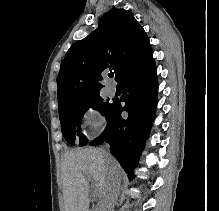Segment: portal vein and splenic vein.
Here are the masks:
<instances>
[{"instance_id": "1", "label": "portal vein and splenic vein", "mask_w": 219, "mask_h": 211, "mask_svg": "<svg viewBox=\"0 0 219 211\" xmlns=\"http://www.w3.org/2000/svg\"><path fill=\"white\" fill-rule=\"evenodd\" d=\"M93 191H95V187H93ZM93 195H95V193H93ZM95 197H97V195H95Z\"/></svg>"}]
</instances>
